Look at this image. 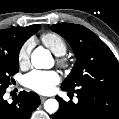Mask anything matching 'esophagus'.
Segmentation results:
<instances>
[{
  "label": "esophagus",
  "instance_id": "34e87169",
  "mask_svg": "<svg viewBox=\"0 0 119 119\" xmlns=\"http://www.w3.org/2000/svg\"><path fill=\"white\" fill-rule=\"evenodd\" d=\"M40 99H41L42 102H44V101L47 99V97H45V96H40Z\"/></svg>",
  "mask_w": 119,
  "mask_h": 119
}]
</instances>
